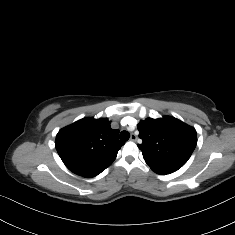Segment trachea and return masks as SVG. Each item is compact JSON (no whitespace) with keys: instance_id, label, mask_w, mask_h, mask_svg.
I'll return each mask as SVG.
<instances>
[{"instance_id":"1","label":"trachea","mask_w":235,"mask_h":235,"mask_svg":"<svg viewBox=\"0 0 235 235\" xmlns=\"http://www.w3.org/2000/svg\"><path fill=\"white\" fill-rule=\"evenodd\" d=\"M130 138V134L127 131H122L120 133V140L121 141H127Z\"/></svg>"}]
</instances>
